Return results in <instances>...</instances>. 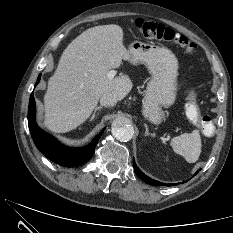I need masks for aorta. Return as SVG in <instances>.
Returning a JSON list of instances; mask_svg holds the SVG:
<instances>
[{"label":"aorta","instance_id":"obj_1","mask_svg":"<svg viewBox=\"0 0 233 233\" xmlns=\"http://www.w3.org/2000/svg\"><path fill=\"white\" fill-rule=\"evenodd\" d=\"M134 134V128L130 120L126 117L119 116L112 122V135L119 141L126 142L131 140Z\"/></svg>","mask_w":233,"mask_h":233}]
</instances>
